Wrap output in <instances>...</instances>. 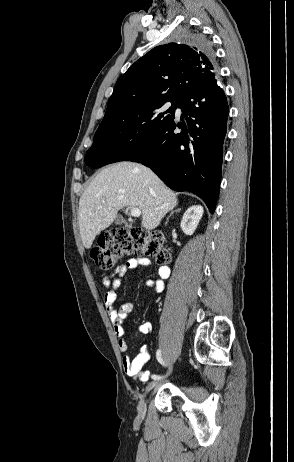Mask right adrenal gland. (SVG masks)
Masks as SVG:
<instances>
[{"label": "right adrenal gland", "instance_id": "2a0ac1e0", "mask_svg": "<svg viewBox=\"0 0 294 462\" xmlns=\"http://www.w3.org/2000/svg\"><path fill=\"white\" fill-rule=\"evenodd\" d=\"M180 211H181V209H180V208H178V209H176V210L172 211V212L169 214V216L167 217V220H168V219H169V217H170V216H172L174 213H178V212H180Z\"/></svg>", "mask_w": 294, "mask_h": 462}]
</instances>
